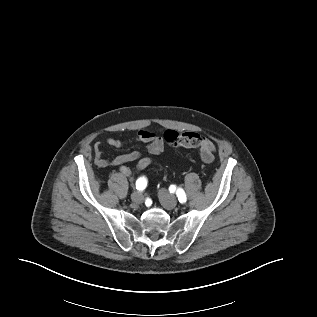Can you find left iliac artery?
Returning a JSON list of instances; mask_svg holds the SVG:
<instances>
[{
	"label": "left iliac artery",
	"instance_id": "1",
	"mask_svg": "<svg viewBox=\"0 0 317 317\" xmlns=\"http://www.w3.org/2000/svg\"><path fill=\"white\" fill-rule=\"evenodd\" d=\"M173 189H175V186H171V187H170V190H171V191H172ZM172 192H173V191H172ZM176 194H177V197H178V200H179L180 203H185V202L187 201V197H186V194H185V192H184L183 189H181V188L177 189Z\"/></svg>",
	"mask_w": 317,
	"mask_h": 317
}]
</instances>
